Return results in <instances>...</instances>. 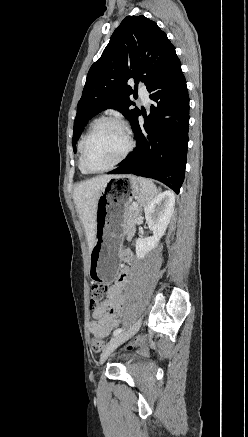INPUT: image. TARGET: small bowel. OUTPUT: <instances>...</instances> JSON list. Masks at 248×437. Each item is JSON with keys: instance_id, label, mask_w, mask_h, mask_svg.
<instances>
[{"instance_id": "small-bowel-1", "label": "small bowel", "mask_w": 248, "mask_h": 437, "mask_svg": "<svg viewBox=\"0 0 248 437\" xmlns=\"http://www.w3.org/2000/svg\"><path fill=\"white\" fill-rule=\"evenodd\" d=\"M123 259L129 262L132 258L130 250H124ZM129 276V270L123 268L117 282L110 286L106 299L95 305L92 316L93 321L90 323L89 330L99 338H106L111 331L120 323L124 310L123 291L126 287Z\"/></svg>"}]
</instances>
